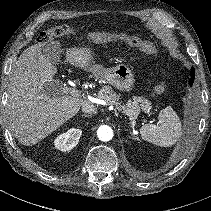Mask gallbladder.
Masks as SVG:
<instances>
[{
	"mask_svg": "<svg viewBox=\"0 0 211 211\" xmlns=\"http://www.w3.org/2000/svg\"><path fill=\"white\" fill-rule=\"evenodd\" d=\"M43 54L46 59L52 62L54 65L59 64L61 61V45L58 41L49 42L43 48Z\"/></svg>",
	"mask_w": 211,
	"mask_h": 211,
	"instance_id": "obj_1",
	"label": "gallbladder"
}]
</instances>
